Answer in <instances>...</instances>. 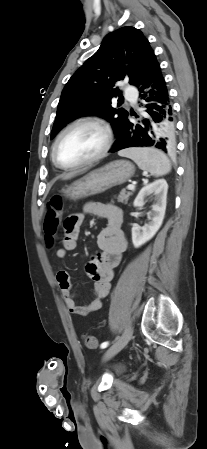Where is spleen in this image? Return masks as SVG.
<instances>
[{
    "label": "spleen",
    "instance_id": "3e777b00",
    "mask_svg": "<svg viewBox=\"0 0 207 449\" xmlns=\"http://www.w3.org/2000/svg\"><path fill=\"white\" fill-rule=\"evenodd\" d=\"M122 157L132 159L140 169L159 177L171 171L168 157L154 148H129L118 153Z\"/></svg>",
    "mask_w": 207,
    "mask_h": 449
}]
</instances>
